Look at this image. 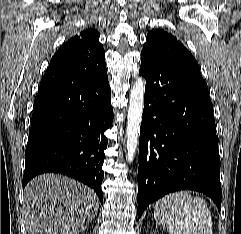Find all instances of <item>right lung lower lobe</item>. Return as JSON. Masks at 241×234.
<instances>
[{
	"label": "right lung lower lobe",
	"instance_id": "obj_1",
	"mask_svg": "<svg viewBox=\"0 0 241 234\" xmlns=\"http://www.w3.org/2000/svg\"><path fill=\"white\" fill-rule=\"evenodd\" d=\"M106 70L70 87L38 93L25 151L23 188L35 176L54 172L93 188L103 203L102 165L113 121Z\"/></svg>",
	"mask_w": 241,
	"mask_h": 234
}]
</instances>
